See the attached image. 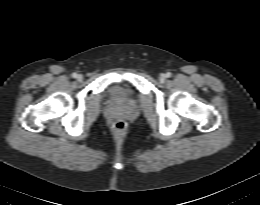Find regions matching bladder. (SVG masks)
Masks as SVG:
<instances>
[{
  "mask_svg": "<svg viewBox=\"0 0 260 205\" xmlns=\"http://www.w3.org/2000/svg\"><path fill=\"white\" fill-rule=\"evenodd\" d=\"M107 100L114 105H129L136 101V92L129 85L114 84L107 89Z\"/></svg>",
  "mask_w": 260,
  "mask_h": 205,
  "instance_id": "1",
  "label": "bladder"
}]
</instances>
